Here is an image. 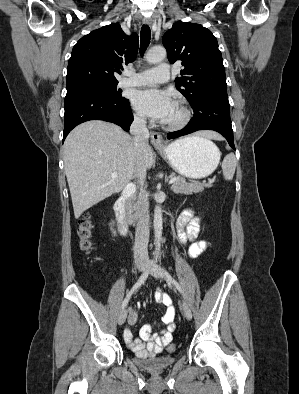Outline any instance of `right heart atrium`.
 Returning <instances> with one entry per match:
<instances>
[{
    "label": "right heart atrium",
    "mask_w": 299,
    "mask_h": 394,
    "mask_svg": "<svg viewBox=\"0 0 299 394\" xmlns=\"http://www.w3.org/2000/svg\"><path fill=\"white\" fill-rule=\"evenodd\" d=\"M134 119L137 123H144V118L141 114H135Z\"/></svg>",
    "instance_id": "right-heart-atrium-1"
}]
</instances>
